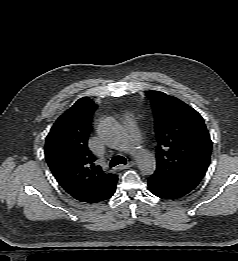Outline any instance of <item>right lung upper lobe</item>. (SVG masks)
Masks as SVG:
<instances>
[{"instance_id": "1", "label": "right lung upper lobe", "mask_w": 238, "mask_h": 261, "mask_svg": "<svg viewBox=\"0 0 238 261\" xmlns=\"http://www.w3.org/2000/svg\"><path fill=\"white\" fill-rule=\"evenodd\" d=\"M96 108L89 97L80 98L56 120L45 142V158L58 183L73 198L87 203L96 202L118 180L96 165L88 149Z\"/></svg>"}]
</instances>
